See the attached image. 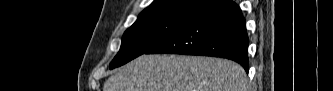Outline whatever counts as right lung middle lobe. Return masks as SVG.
<instances>
[{
  "mask_svg": "<svg viewBox=\"0 0 333 91\" xmlns=\"http://www.w3.org/2000/svg\"><path fill=\"white\" fill-rule=\"evenodd\" d=\"M214 3L216 2L213 0H206L201 5V9L205 10ZM190 20L191 19L179 17L138 18L137 21L125 31L122 37L120 51L111 62L110 69L119 67L146 53L181 29Z\"/></svg>",
  "mask_w": 333,
  "mask_h": 91,
  "instance_id": "right-lung-middle-lobe-1",
  "label": "right lung middle lobe"
}]
</instances>
